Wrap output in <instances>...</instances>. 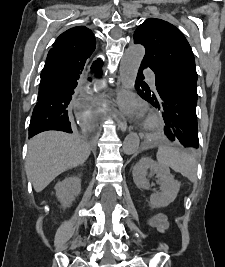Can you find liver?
Returning <instances> with one entry per match:
<instances>
[{
	"label": "liver",
	"mask_w": 225,
	"mask_h": 267,
	"mask_svg": "<svg viewBox=\"0 0 225 267\" xmlns=\"http://www.w3.org/2000/svg\"><path fill=\"white\" fill-rule=\"evenodd\" d=\"M90 153L89 144L76 133L43 132L28 143L27 178L41 192L64 171L82 165Z\"/></svg>",
	"instance_id": "obj_1"
}]
</instances>
